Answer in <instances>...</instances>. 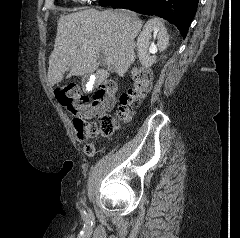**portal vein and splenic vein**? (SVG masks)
Instances as JSON below:
<instances>
[{
    "label": "portal vein and splenic vein",
    "instance_id": "obj_1",
    "mask_svg": "<svg viewBox=\"0 0 240 238\" xmlns=\"http://www.w3.org/2000/svg\"><path fill=\"white\" fill-rule=\"evenodd\" d=\"M105 63H107V65H112V61L109 59V58H106L105 59Z\"/></svg>",
    "mask_w": 240,
    "mask_h": 238
}]
</instances>
